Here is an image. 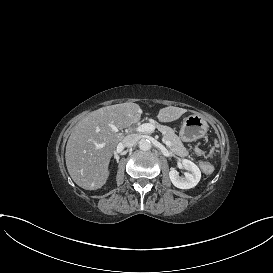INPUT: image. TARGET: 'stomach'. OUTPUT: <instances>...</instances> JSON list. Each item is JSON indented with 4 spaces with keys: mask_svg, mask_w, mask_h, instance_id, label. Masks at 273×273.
<instances>
[{
    "mask_svg": "<svg viewBox=\"0 0 273 273\" xmlns=\"http://www.w3.org/2000/svg\"><path fill=\"white\" fill-rule=\"evenodd\" d=\"M208 128V122L202 115L193 114L183 120L179 137L183 142L197 141L207 134Z\"/></svg>",
    "mask_w": 273,
    "mask_h": 273,
    "instance_id": "1",
    "label": "stomach"
}]
</instances>
